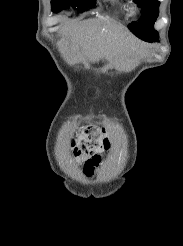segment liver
Returning a JSON list of instances; mask_svg holds the SVG:
<instances>
[{
    "mask_svg": "<svg viewBox=\"0 0 183 246\" xmlns=\"http://www.w3.org/2000/svg\"><path fill=\"white\" fill-rule=\"evenodd\" d=\"M65 32L72 38L74 48L91 62L122 56L128 48L135 50L131 35L107 20L87 19Z\"/></svg>",
    "mask_w": 183,
    "mask_h": 246,
    "instance_id": "obj_1",
    "label": "liver"
}]
</instances>
